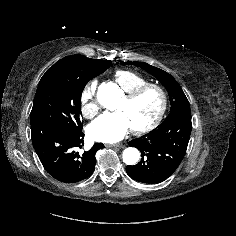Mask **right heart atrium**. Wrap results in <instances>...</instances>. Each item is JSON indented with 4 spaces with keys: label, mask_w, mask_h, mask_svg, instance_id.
I'll use <instances>...</instances> for the list:
<instances>
[{
    "label": "right heart atrium",
    "mask_w": 236,
    "mask_h": 236,
    "mask_svg": "<svg viewBox=\"0 0 236 236\" xmlns=\"http://www.w3.org/2000/svg\"><path fill=\"white\" fill-rule=\"evenodd\" d=\"M97 81H90L83 89L80 97L81 113L87 119L94 118L100 109L96 98Z\"/></svg>",
    "instance_id": "right-heart-atrium-1"
}]
</instances>
